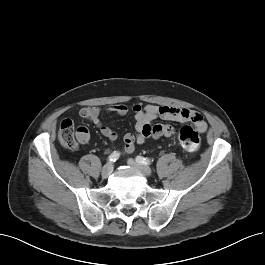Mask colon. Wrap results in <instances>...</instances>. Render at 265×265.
I'll return each instance as SVG.
<instances>
[{"label":"colon","mask_w":265,"mask_h":265,"mask_svg":"<svg viewBox=\"0 0 265 265\" xmlns=\"http://www.w3.org/2000/svg\"><path fill=\"white\" fill-rule=\"evenodd\" d=\"M59 143L67 150H76L78 148L77 130L70 119H64L60 122L58 130ZM179 144L186 152L194 153L198 151L201 144L199 131L189 125L183 126L178 134Z\"/></svg>","instance_id":"1"}]
</instances>
